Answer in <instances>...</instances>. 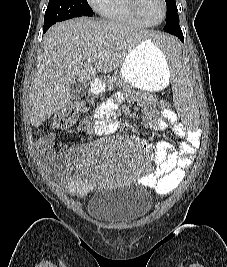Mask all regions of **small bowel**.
Wrapping results in <instances>:
<instances>
[{"label":"small bowel","instance_id":"small-bowel-1","mask_svg":"<svg viewBox=\"0 0 227 267\" xmlns=\"http://www.w3.org/2000/svg\"><path fill=\"white\" fill-rule=\"evenodd\" d=\"M116 105L112 100H105L99 104L94 111L91 123L85 122L74 129L82 127L87 134L107 136L117 129V124L113 121ZM178 118L170 109L160 111H149V116L145 125L148 128L161 130L177 127ZM179 137L180 150L176 149L171 143L162 141L156 144L144 142L147 151L152 156L156 169L154 172L142 177V182L152 188L157 193H168L179 186L184 176L185 168L191 164L200 146L199 135L196 132L187 133L183 130L176 131ZM40 152L49 160L53 157L52 143L48 139L40 142ZM70 156V152H64ZM75 158L68 165H75ZM89 177L82 165H76L74 172L65 178V190L80 195L89 191Z\"/></svg>","mask_w":227,"mask_h":267}]
</instances>
